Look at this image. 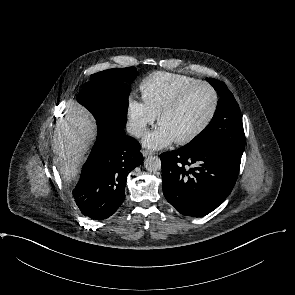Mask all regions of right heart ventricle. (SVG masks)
Wrapping results in <instances>:
<instances>
[{"label": "right heart ventricle", "instance_id": "obj_1", "mask_svg": "<svg viewBox=\"0 0 295 295\" xmlns=\"http://www.w3.org/2000/svg\"><path fill=\"white\" fill-rule=\"evenodd\" d=\"M197 79L168 72H154L141 83L143 99L156 115L170 103L185 87L196 82Z\"/></svg>", "mask_w": 295, "mask_h": 295}]
</instances>
